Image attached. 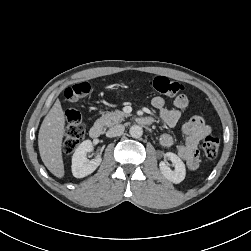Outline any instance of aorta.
<instances>
[{
	"label": "aorta",
	"mask_w": 251,
	"mask_h": 251,
	"mask_svg": "<svg viewBox=\"0 0 251 251\" xmlns=\"http://www.w3.org/2000/svg\"><path fill=\"white\" fill-rule=\"evenodd\" d=\"M129 133L133 138H140L143 135V129L139 125H133L130 127Z\"/></svg>",
	"instance_id": "762f6f07"
}]
</instances>
